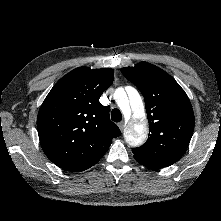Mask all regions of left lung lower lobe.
Instances as JSON below:
<instances>
[{
	"mask_svg": "<svg viewBox=\"0 0 221 221\" xmlns=\"http://www.w3.org/2000/svg\"><path fill=\"white\" fill-rule=\"evenodd\" d=\"M137 162H139L140 164L148 167V168H153V169H160V168H163L162 166H159V165H156V164H153V163H148V162H143V161H140V160H137Z\"/></svg>",
	"mask_w": 221,
	"mask_h": 221,
	"instance_id": "left-lung-lower-lobe-1",
	"label": "left lung lower lobe"
}]
</instances>
